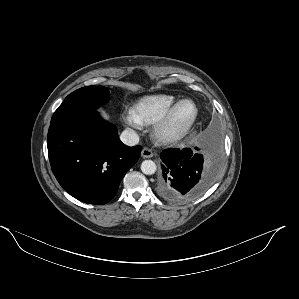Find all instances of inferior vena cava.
Instances as JSON below:
<instances>
[{
  "instance_id": "1",
  "label": "inferior vena cava",
  "mask_w": 299,
  "mask_h": 299,
  "mask_svg": "<svg viewBox=\"0 0 299 299\" xmlns=\"http://www.w3.org/2000/svg\"><path fill=\"white\" fill-rule=\"evenodd\" d=\"M120 140L128 146H134L139 142L138 134L132 129L124 130L120 135Z\"/></svg>"
}]
</instances>
